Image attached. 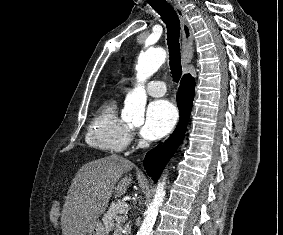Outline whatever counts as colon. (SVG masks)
Returning <instances> with one entry per match:
<instances>
[{
    "mask_svg": "<svg viewBox=\"0 0 283 235\" xmlns=\"http://www.w3.org/2000/svg\"><path fill=\"white\" fill-rule=\"evenodd\" d=\"M59 216V203H53L51 210H50V217L52 220H56Z\"/></svg>",
    "mask_w": 283,
    "mask_h": 235,
    "instance_id": "5ec220e1",
    "label": "colon"
}]
</instances>
